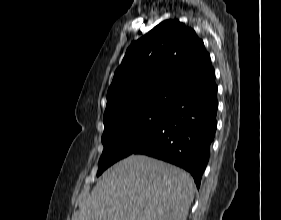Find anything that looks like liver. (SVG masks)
Listing matches in <instances>:
<instances>
[{
    "label": "liver",
    "instance_id": "obj_1",
    "mask_svg": "<svg viewBox=\"0 0 281 220\" xmlns=\"http://www.w3.org/2000/svg\"><path fill=\"white\" fill-rule=\"evenodd\" d=\"M194 194L183 169L131 155L103 173L72 220H186Z\"/></svg>",
    "mask_w": 281,
    "mask_h": 220
}]
</instances>
